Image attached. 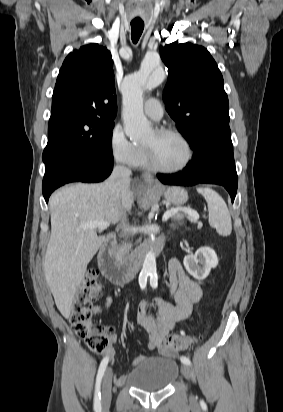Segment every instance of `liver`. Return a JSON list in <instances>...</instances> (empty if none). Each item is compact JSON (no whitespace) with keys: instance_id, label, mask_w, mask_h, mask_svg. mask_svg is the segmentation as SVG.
Here are the masks:
<instances>
[{"instance_id":"obj_1","label":"liver","mask_w":283,"mask_h":412,"mask_svg":"<svg viewBox=\"0 0 283 412\" xmlns=\"http://www.w3.org/2000/svg\"><path fill=\"white\" fill-rule=\"evenodd\" d=\"M134 193L127 181L101 184H74L52 194L49 200L51 236L43 270L56 306L69 318L74 294L105 236L95 228H81L92 221L118 222L123 212L130 211Z\"/></svg>"}]
</instances>
